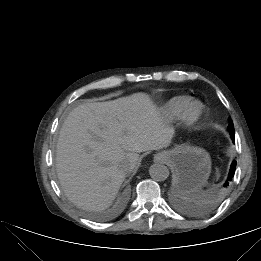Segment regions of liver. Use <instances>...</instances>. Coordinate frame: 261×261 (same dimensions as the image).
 Wrapping results in <instances>:
<instances>
[{
  "instance_id": "obj_1",
  "label": "liver",
  "mask_w": 261,
  "mask_h": 261,
  "mask_svg": "<svg viewBox=\"0 0 261 261\" xmlns=\"http://www.w3.org/2000/svg\"><path fill=\"white\" fill-rule=\"evenodd\" d=\"M172 132L145 93L85 103L65 119L56 147V170L67 197L86 210L115 199L139 153L166 148Z\"/></svg>"
}]
</instances>
